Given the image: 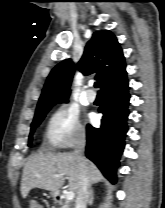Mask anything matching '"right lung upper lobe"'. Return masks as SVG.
<instances>
[{
  "mask_svg": "<svg viewBox=\"0 0 165 208\" xmlns=\"http://www.w3.org/2000/svg\"><path fill=\"white\" fill-rule=\"evenodd\" d=\"M76 67L84 75L96 72L101 89L126 72L120 44L108 30L97 31L92 35ZM74 68L71 59H66L52 69L39 98L36 112L68 100Z\"/></svg>",
  "mask_w": 165,
  "mask_h": 208,
  "instance_id": "obj_1",
  "label": "right lung upper lobe"
}]
</instances>
